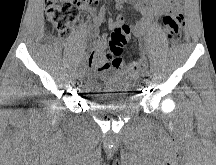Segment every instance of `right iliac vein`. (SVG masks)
<instances>
[{"instance_id":"63e3f726","label":"right iliac vein","mask_w":216,"mask_h":165,"mask_svg":"<svg viewBox=\"0 0 216 165\" xmlns=\"http://www.w3.org/2000/svg\"><path fill=\"white\" fill-rule=\"evenodd\" d=\"M85 73V69L84 68H81L79 70V76H83V74Z\"/></svg>"}]
</instances>
